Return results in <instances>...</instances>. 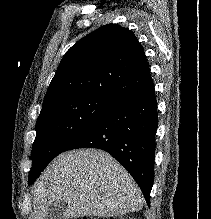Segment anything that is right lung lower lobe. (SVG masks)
Returning a JSON list of instances; mask_svg holds the SVG:
<instances>
[{"label":"right lung lower lobe","mask_w":211,"mask_h":219,"mask_svg":"<svg viewBox=\"0 0 211 219\" xmlns=\"http://www.w3.org/2000/svg\"><path fill=\"white\" fill-rule=\"evenodd\" d=\"M157 127V101L152 82L116 103L64 151L86 147L107 151L131 174L150 206Z\"/></svg>","instance_id":"1"}]
</instances>
